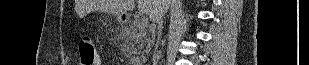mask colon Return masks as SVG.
I'll use <instances>...</instances> for the list:
<instances>
[{"label":"colon","mask_w":309,"mask_h":65,"mask_svg":"<svg viewBox=\"0 0 309 65\" xmlns=\"http://www.w3.org/2000/svg\"><path fill=\"white\" fill-rule=\"evenodd\" d=\"M80 64L98 65L99 56L91 37L83 36L79 40Z\"/></svg>","instance_id":"5ec220e1"}]
</instances>
